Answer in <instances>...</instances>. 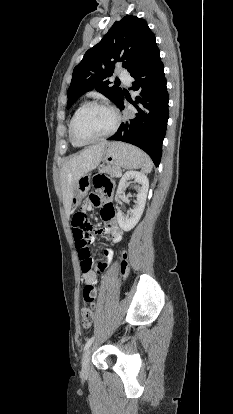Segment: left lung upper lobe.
Masks as SVG:
<instances>
[{
  "instance_id": "5c2ea615",
  "label": "left lung upper lobe",
  "mask_w": 233,
  "mask_h": 414,
  "mask_svg": "<svg viewBox=\"0 0 233 414\" xmlns=\"http://www.w3.org/2000/svg\"><path fill=\"white\" fill-rule=\"evenodd\" d=\"M154 33L145 20L127 15L114 23L102 40L89 49L82 61L74 68L68 89V105L87 91L96 89L113 101L117 106L124 93L118 86H111L115 63L133 75L143 68L158 51Z\"/></svg>"
}]
</instances>
